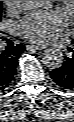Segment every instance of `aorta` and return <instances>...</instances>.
<instances>
[{
  "label": "aorta",
  "instance_id": "obj_1",
  "mask_svg": "<svg viewBox=\"0 0 74 122\" xmlns=\"http://www.w3.org/2000/svg\"><path fill=\"white\" fill-rule=\"evenodd\" d=\"M50 1H21L22 7L27 10L46 8ZM42 62L49 69H57L63 63V54L59 49L49 48L42 53Z\"/></svg>",
  "mask_w": 74,
  "mask_h": 122
}]
</instances>
